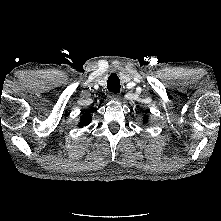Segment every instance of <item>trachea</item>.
I'll return each instance as SVG.
<instances>
[{"label":"trachea","mask_w":221,"mask_h":221,"mask_svg":"<svg viewBox=\"0 0 221 221\" xmlns=\"http://www.w3.org/2000/svg\"><path fill=\"white\" fill-rule=\"evenodd\" d=\"M107 88L110 92L118 93L120 92V79L116 73H112L107 81Z\"/></svg>","instance_id":"trachea-1"}]
</instances>
